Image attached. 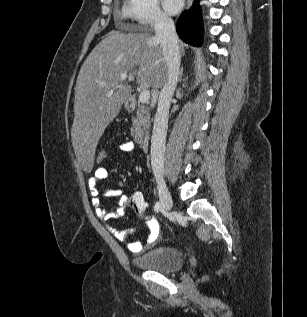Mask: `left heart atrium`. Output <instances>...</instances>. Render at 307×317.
Returning a JSON list of instances; mask_svg holds the SVG:
<instances>
[{"instance_id":"obj_1","label":"left heart atrium","mask_w":307,"mask_h":317,"mask_svg":"<svg viewBox=\"0 0 307 317\" xmlns=\"http://www.w3.org/2000/svg\"><path fill=\"white\" fill-rule=\"evenodd\" d=\"M162 3L168 13L175 14L183 7L184 0H163Z\"/></svg>"}]
</instances>
